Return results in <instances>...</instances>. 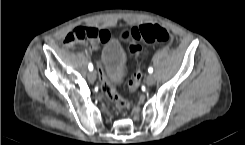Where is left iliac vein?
<instances>
[{
    "mask_svg": "<svg viewBox=\"0 0 245 145\" xmlns=\"http://www.w3.org/2000/svg\"><path fill=\"white\" fill-rule=\"evenodd\" d=\"M146 83L148 85H153L155 83V76L152 74L148 75V77L146 78Z\"/></svg>",
    "mask_w": 245,
    "mask_h": 145,
    "instance_id": "1",
    "label": "left iliac vein"
}]
</instances>
